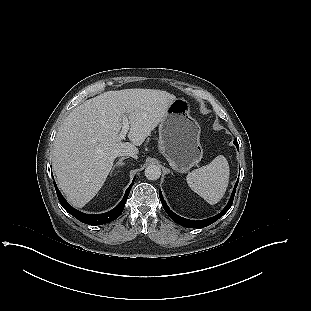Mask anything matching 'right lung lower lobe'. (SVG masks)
<instances>
[{
  "instance_id": "1",
  "label": "right lung lower lobe",
  "mask_w": 311,
  "mask_h": 311,
  "mask_svg": "<svg viewBox=\"0 0 311 311\" xmlns=\"http://www.w3.org/2000/svg\"><path fill=\"white\" fill-rule=\"evenodd\" d=\"M134 184V180L131 183V185L128 187V189L125 192V195L123 197V199L121 200V202L111 211L103 213V214H85L82 213L76 209H74L72 206H70L67 201L64 199V197L62 196V194L60 193V191L58 190L56 184L54 183L55 189H56V193L58 196V199L61 203V205L63 206V208L69 212L72 216H74L76 219H78L79 221L85 223V224H89V225H101L104 223H108L111 222L115 219H117L120 214L122 213L125 203L127 201V198L129 196V192L131 190V187Z\"/></svg>"
}]
</instances>
